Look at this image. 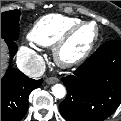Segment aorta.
<instances>
[{"mask_svg":"<svg viewBox=\"0 0 121 121\" xmlns=\"http://www.w3.org/2000/svg\"><path fill=\"white\" fill-rule=\"evenodd\" d=\"M52 94L55 98L61 99L66 95V89L62 84H55L52 87Z\"/></svg>","mask_w":121,"mask_h":121,"instance_id":"762f6f07","label":"aorta"}]
</instances>
